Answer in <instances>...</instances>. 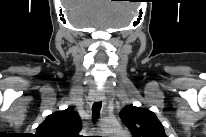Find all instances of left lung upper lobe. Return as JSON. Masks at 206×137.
<instances>
[{
	"label": "left lung upper lobe",
	"instance_id": "left-lung-upper-lobe-1",
	"mask_svg": "<svg viewBox=\"0 0 206 137\" xmlns=\"http://www.w3.org/2000/svg\"><path fill=\"white\" fill-rule=\"evenodd\" d=\"M120 118L133 137H167L162 123L148 109L128 105L120 112Z\"/></svg>",
	"mask_w": 206,
	"mask_h": 137
}]
</instances>
